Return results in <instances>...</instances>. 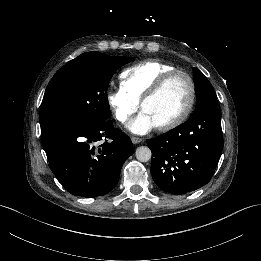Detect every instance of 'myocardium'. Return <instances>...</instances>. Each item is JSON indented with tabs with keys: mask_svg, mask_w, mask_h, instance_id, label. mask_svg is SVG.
<instances>
[{
	"mask_svg": "<svg viewBox=\"0 0 261 261\" xmlns=\"http://www.w3.org/2000/svg\"><path fill=\"white\" fill-rule=\"evenodd\" d=\"M176 75H183L187 79L189 88H190V97H189V100H188L184 110L181 112V114L179 116H177L175 119H173L163 125L156 126L157 129L160 131H169L171 129L178 127L187 119V117L191 113V111L194 107V104H195V100H196V86H195V82H194L193 78L191 77V75L184 70H178V69L165 73L152 86V88L142 98V100L140 102V108L143 109L144 105L146 103H148L149 101L153 100L154 98H156L162 92V90L166 87V85L171 81V79L173 77H175Z\"/></svg>",
	"mask_w": 261,
	"mask_h": 261,
	"instance_id": "obj_1",
	"label": "myocardium"
}]
</instances>
